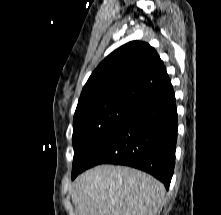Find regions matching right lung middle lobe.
Segmentation results:
<instances>
[{
    "mask_svg": "<svg viewBox=\"0 0 221 215\" xmlns=\"http://www.w3.org/2000/svg\"><path fill=\"white\" fill-rule=\"evenodd\" d=\"M133 107V104L117 100L77 106L73 119L72 176L86 167L94 151Z\"/></svg>",
    "mask_w": 221,
    "mask_h": 215,
    "instance_id": "dd1d6c3e",
    "label": "right lung middle lobe"
}]
</instances>
